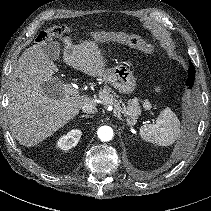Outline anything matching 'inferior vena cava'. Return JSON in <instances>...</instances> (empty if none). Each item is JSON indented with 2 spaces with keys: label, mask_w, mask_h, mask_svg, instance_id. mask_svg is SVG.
I'll return each instance as SVG.
<instances>
[{
  "label": "inferior vena cava",
  "mask_w": 211,
  "mask_h": 211,
  "mask_svg": "<svg viewBox=\"0 0 211 211\" xmlns=\"http://www.w3.org/2000/svg\"><path fill=\"white\" fill-rule=\"evenodd\" d=\"M82 111L84 113L94 114L97 112L96 104L93 102L86 103L82 106Z\"/></svg>",
  "instance_id": "602c4592"
}]
</instances>
